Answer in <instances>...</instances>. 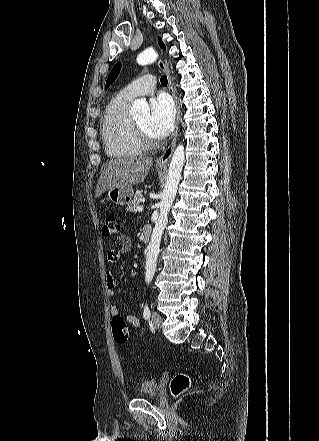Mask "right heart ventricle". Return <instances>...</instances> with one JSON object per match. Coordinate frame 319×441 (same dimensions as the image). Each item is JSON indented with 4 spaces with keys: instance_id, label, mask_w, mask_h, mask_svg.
I'll return each instance as SVG.
<instances>
[{
    "instance_id": "1",
    "label": "right heart ventricle",
    "mask_w": 319,
    "mask_h": 441,
    "mask_svg": "<svg viewBox=\"0 0 319 441\" xmlns=\"http://www.w3.org/2000/svg\"><path fill=\"white\" fill-rule=\"evenodd\" d=\"M131 100L115 96L106 107L101 134L106 153L111 158L135 157L143 152L134 121L129 115Z\"/></svg>"
}]
</instances>
